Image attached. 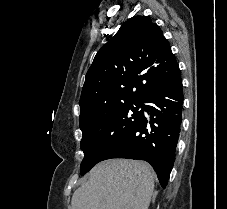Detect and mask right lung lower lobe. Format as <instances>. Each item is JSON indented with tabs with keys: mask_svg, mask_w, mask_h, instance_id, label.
<instances>
[{
	"mask_svg": "<svg viewBox=\"0 0 227 209\" xmlns=\"http://www.w3.org/2000/svg\"><path fill=\"white\" fill-rule=\"evenodd\" d=\"M153 72L167 74L168 79L143 101L150 104L142 106L150 115V121L142 111L139 121L101 161L111 158L146 160L153 166L161 186L165 188L175 159L182 121V79L178 63L169 67L157 66Z\"/></svg>",
	"mask_w": 227,
	"mask_h": 209,
	"instance_id": "1",
	"label": "right lung lower lobe"
}]
</instances>
